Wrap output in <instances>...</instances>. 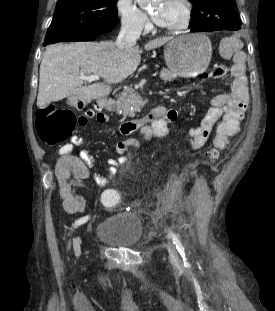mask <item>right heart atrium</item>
<instances>
[{
    "label": "right heart atrium",
    "instance_id": "d8ad5b80",
    "mask_svg": "<svg viewBox=\"0 0 275 311\" xmlns=\"http://www.w3.org/2000/svg\"><path fill=\"white\" fill-rule=\"evenodd\" d=\"M115 8L121 26L131 32L143 33L150 28L146 13L141 10L134 0H116Z\"/></svg>",
    "mask_w": 275,
    "mask_h": 311
}]
</instances>
